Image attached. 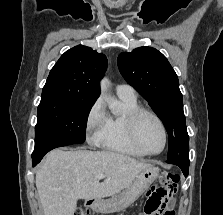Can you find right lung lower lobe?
<instances>
[{
  "label": "right lung lower lobe",
  "instance_id": "right-lung-lower-lobe-1",
  "mask_svg": "<svg viewBox=\"0 0 223 215\" xmlns=\"http://www.w3.org/2000/svg\"><path fill=\"white\" fill-rule=\"evenodd\" d=\"M52 149H54V148H49V149H47V150H44V151H42V152H39V153H33L32 154V165L33 166H36L40 161H41V159L43 158V156L47 153V152H49L50 150H52Z\"/></svg>",
  "mask_w": 223,
  "mask_h": 215
}]
</instances>
